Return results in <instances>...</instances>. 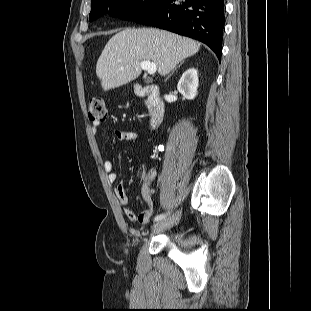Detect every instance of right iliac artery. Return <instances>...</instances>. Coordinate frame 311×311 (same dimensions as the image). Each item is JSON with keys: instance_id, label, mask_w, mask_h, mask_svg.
I'll list each match as a JSON object with an SVG mask.
<instances>
[{"instance_id": "right-iliac-artery-1", "label": "right iliac artery", "mask_w": 311, "mask_h": 311, "mask_svg": "<svg viewBox=\"0 0 311 311\" xmlns=\"http://www.w3.org/2000/svg\"><path fill=\"white\" fill-rule=\"evenodd\" d=\"M167 215L168 214H163V213L159 214V215L155 216L154 221H161V220L165 219Z\"/></svg>"}]
</instances>
